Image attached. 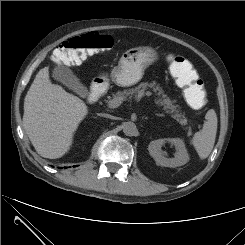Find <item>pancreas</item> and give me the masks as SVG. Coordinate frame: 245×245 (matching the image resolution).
<instances>
[{"label":"pancreas","mask_w":245,"mask_h":245,"mask_svg":"<svg viewBox=\"0 0 245 245\" xmlns=\"http://www.w3.org/2000/svg\"><path fill=\"white\" fill-rule=\"evenodd\" d=\"M151 88L156 97V103L159 106H163V109L168 113H173L176 120L180 123L185 124L186 118L184 114L180 113L178 106L174 105V101H172L167 95L164 93L163 89L156 84V82L148 83L142 82L138 86L130 89H126L123 91H118L113 95L114 98H122L124 101L131 100L133 98L141 97L145 90Z\"/></svg>","instance_id":"cf45deb5"}]
</instances>
